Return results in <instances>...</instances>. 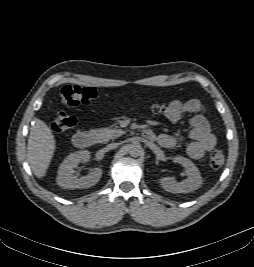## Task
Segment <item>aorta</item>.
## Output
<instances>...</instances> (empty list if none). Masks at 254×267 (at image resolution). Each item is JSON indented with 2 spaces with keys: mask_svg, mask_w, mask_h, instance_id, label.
Segmentation results:
<instances>
[{
  "mask_svg": "<svg viewBox=\"0 0 254 267\" xmlns=\"http://www.w3.org/2000/svg\"><path fill=\"white\" fill-rule=\"evenodd\" d=\"M127 149H128V153L132 157H139L142 153V147H141L140 143H138V142H133V143L129 144Z\"/></svg>",
  "mask_w": 254,
  "mask_h": 267,
  "instance_id": "obj_1",
  "label": "aorta"
}]
</instances>
